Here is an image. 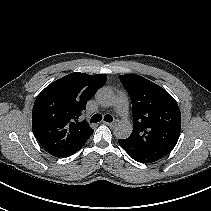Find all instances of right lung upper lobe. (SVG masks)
Segmentation results:
<instances>
[{"mask_svg": "<svg viewBox=\"0 0 211 211\" xmlns=\"http://www.w3.org/2000/svg\"><path fill=\"white\" fill-rule=\"evenodd\" d=\"M105 74H68L40 92L32 111V130L38 142L53 156L78 151L94 130L79 121L86 102L106 83Z\"/></svg>", "mask_w": 211, "mask_h": 211, "instance_id": "cb5924a9", "label": "right lung upper lobe"}]
</instances>
